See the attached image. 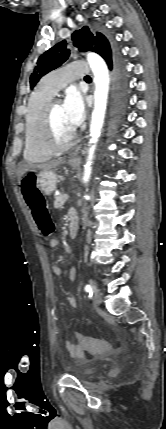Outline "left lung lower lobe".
<instances>
[{
    "mask_svg": "<svg viewBox=\"0 0 166 429\" xmlns=\"http://www.w3.org/2000/svg\"><path fill=\"white\" fill-rule=\"evenodd\" d=\"M96 53H98L104 58L109 69H112L113 58H114L116 72L119 78V94L122 96L125 92L126 86H125V79H124L125 78L124 68L122 66L119 54L115 53L114 57L112 58L110 45L97 48Z\"/></svg>",
    "mask_w": 166,
    "mask_h": 429,
    "instance_id": "0a47b994",
    "label": "left lung lower lobe"
}]
</instances>
